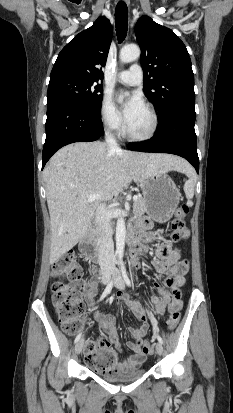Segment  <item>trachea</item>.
Listing matches in <instances>:
<instances>
[{"mask_svg": "<svg viewBox=\"0 0 233 413\" xmlns=\"http://www.w3.org/2000/svg\"><path fill=\"white\" fill-rule=\"evenodd\" d=\"M115 26L118 40L122 42L126 37L128 29V9L123 1H119L115 9Z\"/></svg>", "mask_w": 233, "mask_h": 413, "instance_id": "obj_1", "label": "trachea"}]
</instances>
